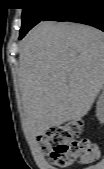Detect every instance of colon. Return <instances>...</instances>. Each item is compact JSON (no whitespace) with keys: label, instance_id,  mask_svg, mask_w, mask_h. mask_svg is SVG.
Instances as JSON below:
<instances>
[{"label":"colon","instance_id":"obj_1","mask_svg":"<svg viewBox=\"0 0 104 169\" xmlns=\"http://www.w3.org/2000/svg\"><path fill=\"white\" fill-rule=\"evenodd\" d=\"M81 120L70 121L52 127L42 138V150L48 160L59 168L75 163H88L98 158L99 153L91 140L79 138Z\"/></svg>","mask_w":104,"mask_h":169}]
</instances>
